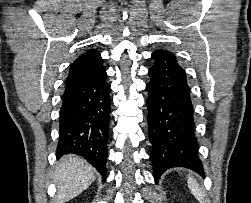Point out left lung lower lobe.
<instances>
[{"label": "left lung lower lobe", "mask_w": 251, "mask_h": 203, "mask_svg": "<svg viewBox=\"0 0 251 203\" xmlns=\"http://www.w3.org/2000/svg\"><path fill=\"white\" fill-rule=\"evenodd\" d=\"M148 70V137L152 144L154 179L173 167H185L203 176L195 136L194 109L185 70L176 56L165 50L152 53Z\"/></svg>", "instance_id": "0a47b994"}]
</instances>
